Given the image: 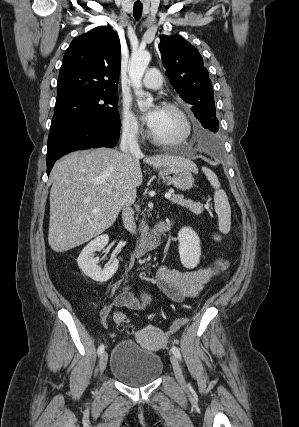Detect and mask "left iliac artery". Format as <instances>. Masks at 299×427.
Returning <instances> with one entry per match:
<instances>
[{
  "mask_svg": "<svg viewBox=\"0 0 299 427\" xmlns=\"http://www.w3.org/2000/svg\"><path fill=\"white\" fill-rule=\"evenodd\" d=\"M172 352L178 359L181 360V354H180V351L177 347H172Z\"/></svg>",
  "mask_w": 299,
  "mask_h": 427,
  "instance_id": "obj_1",
  "label": "left iliac artery"
}]
</instances>
